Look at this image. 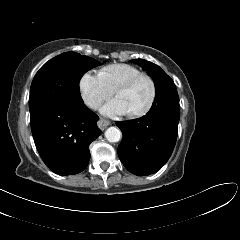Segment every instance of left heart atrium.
<instances>
[{
    "label": "left heart atrium",
    "mask_w": 240,
    "mask_h": 240,
    "mask_svg": "<svg viewBox=\"0 0 240 240\" xmlns=\"http://www.w3.org/2000/svg\"><path fill=\"white\" fill-rule=\"evenodd\" d=\"M101 112L104 115L115 117L129 113V109L120 97H115L101 108Z\"/></svg>",
    "instance_id": "left-heart-atrium-1"
}]
</instances>
